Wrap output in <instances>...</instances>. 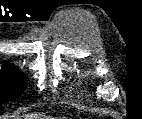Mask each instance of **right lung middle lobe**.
I'll return each instance as SVG.
<instances>
[{
    "label": "right lung middle lobe",
    "instance_id": "obj_1",
    "mask_svg": "<svg viewBox=\"0 0 142 119\" xmlns=\"http://www.w3.org/2000/svg\"><path fill=\"white\" fill-rule=\"evenodd\" d=\"M26 82L18 69L0 71V108L7 101L19 98Z\"/></svg>",
    "mask_w": 142,
    "mask_h": 119
}]
</instances>
